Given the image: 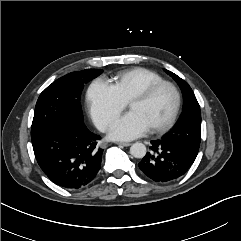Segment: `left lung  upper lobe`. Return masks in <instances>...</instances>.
Masks as SVG:
<instances>
[{
	"label": "left lung upper lobe",
	"mask_w": 241,
	"mask_h": 241,
	"mask_svg": "<svg viewBox=\"0 0 241 241\" xmlns=\"http://www.w3.org/2000/svg\"><path fill=\"white\" fill-rule=\"evenodd\" d=\"M181 87L184 98L183 114L177 125L162 139L173 142L196 158L201 141V111L190 86L179 76L166 70Z\"/></svg>",
	"instance_id": "obj_1"
}]
</instances>
